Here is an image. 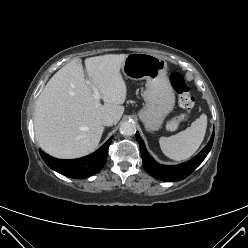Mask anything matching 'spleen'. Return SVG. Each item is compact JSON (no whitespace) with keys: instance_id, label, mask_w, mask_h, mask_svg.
I'll return each instance as SVG.
<instances>
[{"instance_id":"3e777b00","label":"spleen","mask_w":248,"mask_h":248,"mask_svg":"<svg viewBox=\"0 0 248 248\" xmlns=\"http://www.w3.org/2000/svg\"><path fill=\"white\" fill-rule=\"evenodd\" d=\"M206 128L207 116L202 114L184 131L170 137H160V148L172 160H187L198 150L203 142Z\"/></svg>"}]
</instances>
